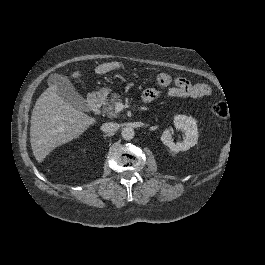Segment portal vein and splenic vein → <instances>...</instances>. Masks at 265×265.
<instances>
[{
  "label": "portal vein and splenic vein",
  "instance_id": "portal-vein-and-splenic-vein-1",
  "mask_svg": "<svg viewBox=\"0 0 265 265\" xmlns=\"http://www.w3.org/2000/svg\"><path fill=\"white\" fill-rule=\"evenodd\" d=\"M123 108H124V105L122 103H117L116 106H115V109L117 111H121Z\"/></svg>",
  "mask_w": 265,
  "mask_h": 265
}]
</instances>
